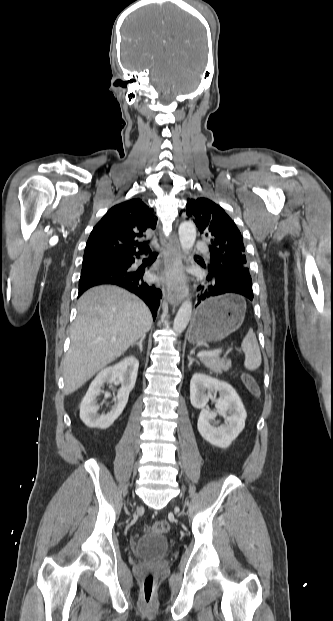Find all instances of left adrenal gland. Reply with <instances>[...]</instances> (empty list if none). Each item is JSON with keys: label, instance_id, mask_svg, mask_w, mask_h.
<instances>
[{"label": "left adrenal gland", "instance_id": "left-adrenal-gland-1", "mask_svg": "<svg viewBox=\"0 0 333 621\" xmlns=\"http://www.w3.org/2000/svg\"><path fill=\"white\" fill-rule=\"evenodd\" d=\"M192 353V352H191ZM191 353L190 355H188V360H189V364H188V368L191 367V365L193 364V362H195L196 364H199L198 360H195L194 358L191 357Z\"/></svg>", "mask_w": 333, "mask_h": 621}]
</instances>
